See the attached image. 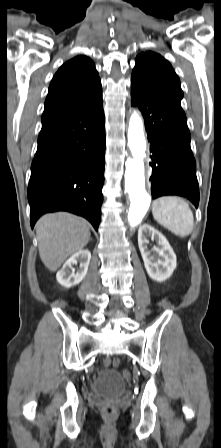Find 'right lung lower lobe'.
I'll return each mask as SVG.
<instances>
[{"mask_svg":"<svg viewBox=\"0 0 221 448\" xmlns=\"http://www.w3.org/2000/svg\"><path fill=\"white\" fill-rule=\"evenodd\" d=\"M102 96L42 125L28 186L30 224L47 212L69 211L101 220L105 166Z\"/></svg>","mask_w":221,"mask_h":448,"instance_id":"98d812e1","label":"right lung lower lobe"}]
</instances>
